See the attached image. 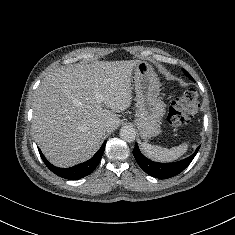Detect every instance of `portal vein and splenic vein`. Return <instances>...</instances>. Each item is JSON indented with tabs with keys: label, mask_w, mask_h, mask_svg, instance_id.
I'll list each match as a JSON object with an SVG mask.
<instances>
[{
	"label": "portal vein and splenic vein",
	"mask_w": 235,
	"mask_h": 235,
	"mask_svg": "<svg viewBox=\"0 0 235 235\" xmlns=\"http://www.w3.org/2000/svg\"><path fill=\"white\" fill-rule=\"evenodd\" d=\"M97 101L98 102L102 101V96L99 93H97Z\"/></svg>",
	"instance_id": "18ae733b"
}]
</instances>
